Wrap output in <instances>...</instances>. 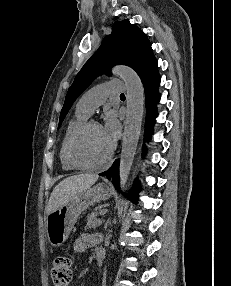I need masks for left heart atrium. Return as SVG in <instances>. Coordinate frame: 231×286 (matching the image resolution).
I'll return each mask as SVG.
<instances>
[{
  "label": "left heart atrium",
  "mask_w": 231,
  "mask_h": 286,
  "mask_svg": "<svg viewBox=\"0 0 231 286\" xmlns=\"http://www.w3.org/2000/svg\"><path fill=\"white\" fill-rule=\"evenodd\" d=\"M106 133V135L108 136V138L114 142L115 139L118 137L119 135V123L117 121V119L113 116H109L106 119L105 125L102 127Z\"/></svg>",
  "instance_id": "39dd6f15"
}]
</instances>
